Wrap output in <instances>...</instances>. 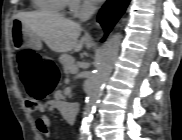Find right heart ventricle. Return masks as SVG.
<instances>
[{
  "instance_id": "right-heart-ventricle-1",
  "label": "right heart ventricle",
  "mask_w": 182,
  "mask_h": 140,
  "mask_svg": "<svg viewBox=\"0 0 182 140\" xmlns=\"http://www.w3.org/2000/svg\"><path fill=\"white\" fill-rule=\"evenodd\" d=\"M69 2V0H35L34 7L44 12L62 13Z\"/></svg>"
}]
</instances>
